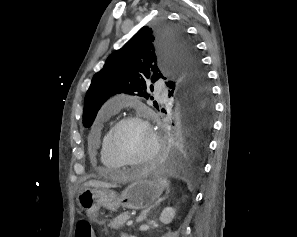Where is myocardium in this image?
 Wrapping results in <instances>:
<instances>
[{
    "instance_id": "1",
    "label": "myocardium",
    "mask_w": 297,
    "mask_h": 237,
    "mask_svg": "<svg viewBox=\"0 0 297 237\" xmlns=\"http://www.w3.org/2000/svg\"><path fill=\"white\" fill-rule=\"evenodd\" d=\"M136 122L142 124L148 131L151 138V149L150 152L142 159L130 161L125 160L114 148L112 143V137L114 133L124 124ZM106 146L110 155L121 165V166H134V165H145L152 162L159 154L160 151V139L159 135L151 123L150 119L144 114H130L119 118L113 126L109 129L105 136Z\"/></svg>"
}]
</instances>
